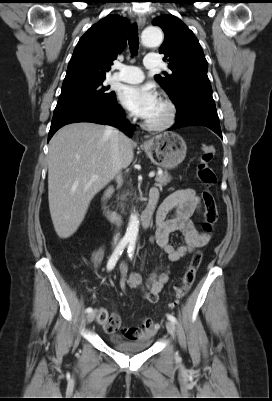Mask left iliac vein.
Returning a JSON list of instances; mask_svg holds the SVG:
<instances>
[{"mask_svg": "<svg viewBox=\"0 0 272 401\" xmlns=\"http://www.w3.org/2000/svg\"><path fill=\"white\" fill-rule=\"evenodd\" d=\"M166 328L170 334H172V335L175 334V324L172 321L166 322Z\"/></svg>", "mask_w": 272, "mask_h": 401, "instance_id": "obj_1", "label": "left iliac vein"}]
</instances>
